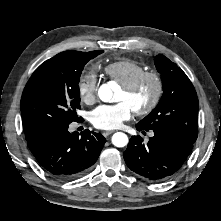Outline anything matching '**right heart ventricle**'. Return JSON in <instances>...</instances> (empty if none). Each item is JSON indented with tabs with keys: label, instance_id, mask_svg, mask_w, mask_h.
Wrapping results in <instances>:
<instances>
[{
	"label": "right heart ventricle",
	"instance_id": "obj_1",
	"mask_svg": "<svg viewBox=\"0 0 221 221\" xmlns=\"http://www.w3.org/2000/svg\"><path fill=\"white\" fill-rule=\"evenodd\" d=\"M145 70V66L131 59H120L104 67L105 74L120 85L127 83Z\"/></svg>",
	"mask_w": 221,
	"mask_h": 221
}]
</instances>
